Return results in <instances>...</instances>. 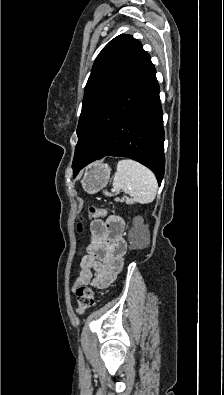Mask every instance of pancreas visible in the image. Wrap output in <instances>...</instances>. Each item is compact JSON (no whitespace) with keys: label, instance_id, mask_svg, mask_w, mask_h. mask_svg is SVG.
Instances as JSON below:
<instances>
[{"label":"pancreas","instance_id":"pancreas-1","mask_svg":"<svg viewBox=\"0 0 224 395\" xmlns=\"http://www.w3.org/2000/svg\"><path fill=\"white\" fill-rule=\"evenodd\" d=\"M117 200H118V201H126L127 203L130 202V200H128V199L125 200L124 198H123L122 200H120V199H117Z\"/></svg>","mask_w":224,"mask_h":395}]
</instances>
